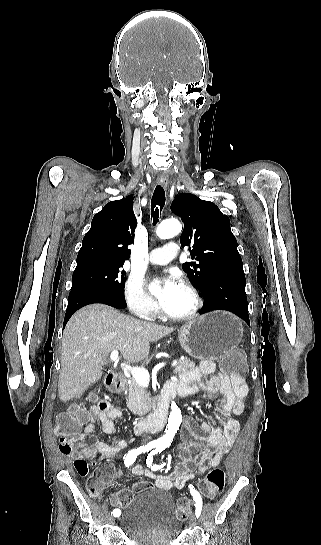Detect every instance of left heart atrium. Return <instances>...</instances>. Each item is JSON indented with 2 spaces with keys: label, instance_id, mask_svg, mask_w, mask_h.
Here are the masks:
<instances>
[{
  "label": "left heart atrium",
  "instance_id": "39dd6f15",
  "mask_svg": "<svg viewBox=\"0 0 321 545\" xmlns=\"http://www.w3.org/2000/svg\"><path fill=\"white\" fill-rule=\"evenodd\" d=\"M159 282L161 285V293L158 302L160 308L166 310L181 287L180 280L177 274L169 273L161 277Z\"/></svg>",
  "mask_w": 321,
  "mask_h": 545
}]
</instances>
